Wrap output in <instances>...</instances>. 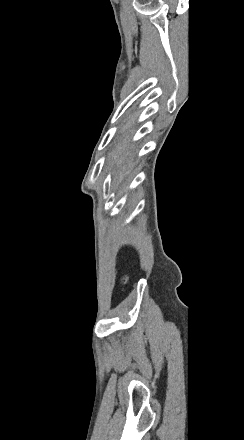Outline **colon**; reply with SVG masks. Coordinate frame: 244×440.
<instances>
[{"instance_id":"1","label":"colon","mask_w":244,"mask_h":440,"mask_svg":"<svg viewBox=\"0 0 244 440\" xmlns=\"http://www.w3.org/2000/svg\"><path fill=\"white\" fill-rule=\"evenodd\" d=\"M121 281H122L123 283H126L127 278H126V277H122Z\"/></svg>"}]
</instances>
